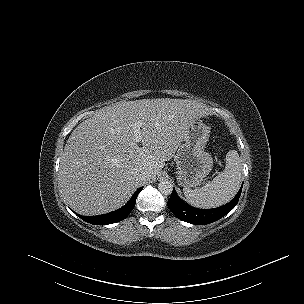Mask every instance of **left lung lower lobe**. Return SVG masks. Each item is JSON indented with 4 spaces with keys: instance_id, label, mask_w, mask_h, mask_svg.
Segmentation results:
<instances>
[{
    "instance_id": "0a47b994",
    "label": "left lung lower lobe",
    "mask_w": 304,
    "mask_h": 304,
    "mask_svg": "<svg viewBox=\"0 0 304 304\" xmlns=\"http://www.w3.org/2000/svg\"><path fill=\"white\" fill-rule=\"evenodd\" d=\"M242 187L243 184L233 200L218 208L197 209L191 207L177 196L174 189L167 202V205L178 219L191 224L205 225L222 218L236 206L241 195Z\"/></svg>"
}]
</instances>
